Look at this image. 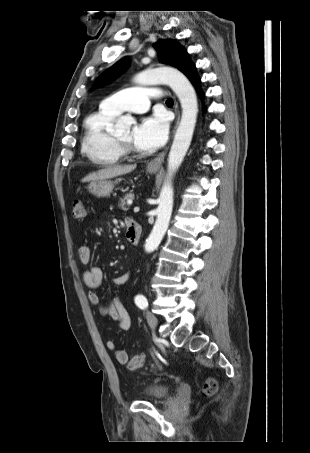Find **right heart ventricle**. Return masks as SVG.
Segmentation results:
<instances>
[{
  "instance_id": "1",
  "label": "right heart ventricle",
  "mask_w": 310,
  "mask_h": 453,
  "mask_svg": "<svg viewBox=\"0 0 310 453\" xmlns=\"http://www.w3.org/2000/svg\"><path fill=\"white\" fill-rule=\"evenodd\" d=\"M116 115L100 106L99 110L88 115L84 121L81 152L94 165L112 166L123 159L110 132Z\"/></svg>"
}]
</instances>
